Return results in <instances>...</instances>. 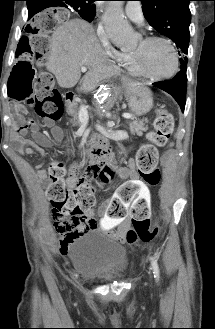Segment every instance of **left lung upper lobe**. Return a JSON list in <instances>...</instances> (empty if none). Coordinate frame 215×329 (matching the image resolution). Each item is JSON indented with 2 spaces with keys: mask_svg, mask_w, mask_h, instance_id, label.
<instances>
[{
  "mask_svg": "<svg viewBox=\"0 0 215 329\" xmlns=\"http://www.w3.org/2000/svg\"><path fill=\"white\" fill-rule=\"evenodd\" d=\"M143 14L148 23L159 33L169 37L180 49L181 54H188L190 39L189 25L191 0H140ZM180 63H187L182 56Z\"/></svg>",
  "mask_w": 215,
  "mask_h": 329,
  "instance_id": "1",
  "label": "left lung upper lobe"
}]
</instances>
